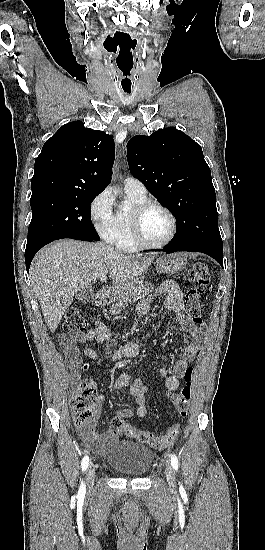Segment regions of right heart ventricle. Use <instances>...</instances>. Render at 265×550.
Wrapping results in <instances>:
<instances>
[{
  "label": "right heart ventricle",
  "mask_w": 265,
  "mask_h": 550,
  "mask_svg": "<svg viewBox=\"0 0 265 550\" xmlns=\"http://www.w3.org/2000/svg\"><path fill=\"white\" fill-rule=\"evenodd\" d=\"M127 197L130 201V207H120L115 213L114 228L108 241L116 248L132 252L138 246L135 244L131 232V215L135 206L147 201V196L139 195L126 190Z\"/></svg>",
  "instance_id": "obj_1"
}]
</instances>
